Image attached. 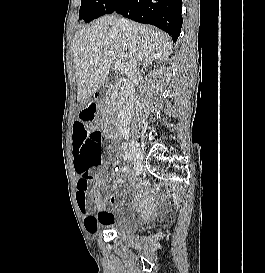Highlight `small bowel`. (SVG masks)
<instances>
[{
	"instance_id": "obj_1",
	"label": "small bowel",
	"mask_w": 265,
	"mask_h": 273,
	"mask_svg": "<svg viewBox=\"0 0 265 273\" xmlns=\"http://www.w3.org/2000/svg\"><path fill=\"white\" fill-rule=\"evenodd\" d=\"M95 109L87 102H83L78 110V121L73 125V156H74V169L77 174V192L76 200L78 207L84 217L85 229L91 233H97L101 228L106 227L107 224L114 220V215L109 209L108 203H113L115 198L113 195L109 196L106 200L101 196L99 188L104 186L107 182L106 178L99 175V173L92 174L91 171L83 173L79 169V154L76 150V129H89V124L93 123ZM128 167L122 168L123 173H128ZM95 181L92 189L89 188V181ZM117 184L121 182L118 178L115 181ZM143 204L141 195L135 197L132 206L135 208Z\"/></svg>"
}]
</instances>
